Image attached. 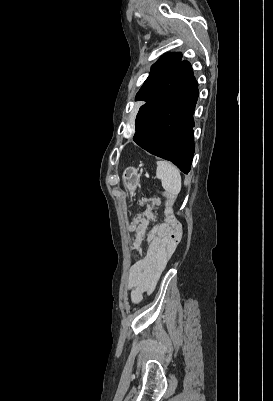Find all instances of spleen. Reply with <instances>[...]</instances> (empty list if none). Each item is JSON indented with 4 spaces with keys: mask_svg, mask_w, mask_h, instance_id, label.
Wrapping results in <instances>:
<instances>
[{
    "mask_svg": "<svg viewBox=\"0 0 273 401\" xmlns=\"http://www.w3.org/2000/svg\"><path fill=\"white\" fill-rule=\"evenodd\" d=\"M157 178H161L162 186L170 192L177 196L181 190V174L177 166L167 162V160H157L156 168Z\"/></svg>",
    "mask_w": 273,
    "mask_h": 401,
    "instance_id": "3e777b00",
    "label": "spleen"
}]
</instances>
